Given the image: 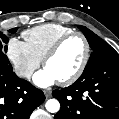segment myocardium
<instances>
[{"label": "myocardium", "instance_id": "1", "mask_svg": "<svg viewBox=\"0 0 119 119\" xmlns=\"http://www.w3.org/2000/svg\"><path fill=\"white\" fill-rule=\"evenodd\" d=\"M74 37H79L83 40L84 45H85V53H84L83 60H82L81 64L79 65V67L77 68V70L73 74L68 76L67 78L58 80V82L62 85H69V84L74 83L77 79H79V77L83 74L84 70L86 69V66L89 62L90 55H91V46H90V43H89L88 39L86 38V36L81 32H72V33H69V34L61 37L48 50V52L46 53V55L43 58V66H46L47 62L58 54V52L63 47V45L67 41H69L70 39H72Z\"/></svg>", "mask_w": 119, "mask_h": 119}]
</instances>
